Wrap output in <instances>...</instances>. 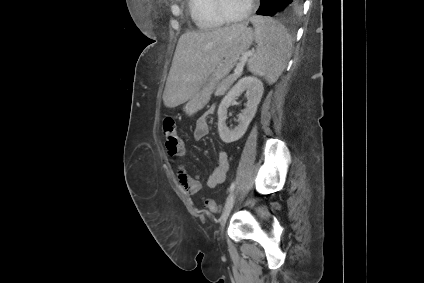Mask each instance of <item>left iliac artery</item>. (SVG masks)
<instances>
[{
    "mask_svg": "<svg viewBox=\"0 0 424 283\" xmlns=\"http://www.w3.org/2000/svg\"><path fill=\"white\" fill-rule=\"evenodd\" d=\"M235 188V182H233L229 188V192H232Z\"/></svg>",
    "mask_w": 424,
    "mask_h": 283,
    "instance_id": "obj_1",
    "label": "left iliac artery"
}]
</instances>
